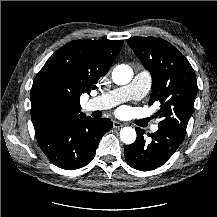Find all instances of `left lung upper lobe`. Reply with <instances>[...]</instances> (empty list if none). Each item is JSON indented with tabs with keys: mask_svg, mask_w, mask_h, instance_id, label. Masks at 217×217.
<instances>
[{
	"mask_svg": "<svg viewBox=\"0 0 217 217\" xmlns=\"http://www.w3.org/2000/svg\"><path fill=\"white\" fill-rule=\"evenodd\" d=\"M128 45L152 75L149 105L159 101V126L185 134L194 109L197 81L188 60L170 43L158 38H132Z\"/></svg>",
	"mask_w": 217,
	"mask_h": 217,
	"instance_id": "5c2ea615",
	"label": "left lung upper lobe"
}]
</instances>
